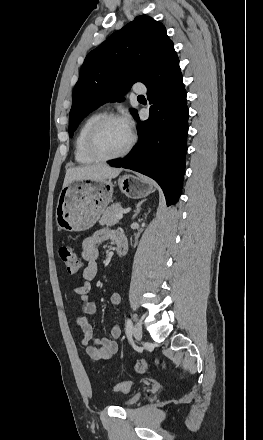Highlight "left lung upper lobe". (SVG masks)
Segmentation results:
<instances>
[{
    "label": "left lung upper lobe",
    "mask_w": 263,
    "mask_h": 440,
    "mask_svg": "<svg viewBox=\"0 0 263 440\" xmlns=\"http://www.w3.org/2000/svg\"><path fill=\"white\" fill-rule=\"evenodd\" d=\"M174 44L160 22L138 16L91 51L73 90L69 135L90 112L109 101H122L132 85L150 82L177 59ZM135 116L137 111L131 109Z\"/></svg>",
    "instance_id": "5c2ea615"
}]
</instances>
